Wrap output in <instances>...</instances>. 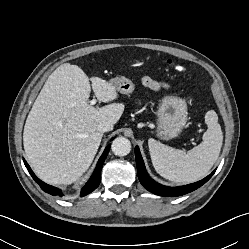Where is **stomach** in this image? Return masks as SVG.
<instances>
[{
    "label": "stomach",
    "mask_w": 249,
    "mask_h": 249,
    "mask_svg": "<svg viewBox=\"0 0 249 249\" xmlns=\"http://www.w3.org/2000/svg\"><path fill=\"white\" fill-rule=\"evenodd\" d=\"M116 90L122 94H130L135 85L126 77L111 80ZM157 135L164 140L175 138L185 127L188 120L186 101L173 95H165L156 112Z\"/></svg>",
    "instance_id": "obj_1"
}]
</instances>
